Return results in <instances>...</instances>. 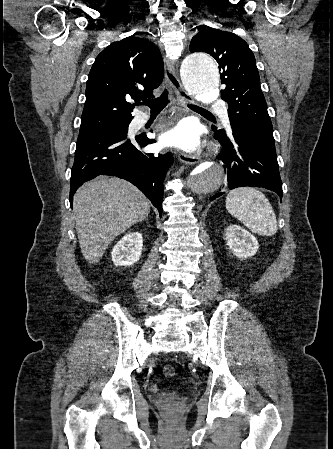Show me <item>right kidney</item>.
Here are the masks:
<instances>
[{"label": "right kidney", "instance_id": "right-kidney-1", "mask_svg": "<svg viewBox=\"0 0 333 449\" xmlns=\"http://www.w3.org/2000/svg\"><path fill=\"white\" fill-rule=\"evenodd\" d=\"M143 237L139 232L125 235L112 250L115 266H131L138 262L142 253Z\"/></svg>", "mask_w": 333, "mask_h": 449}]
</instances>
